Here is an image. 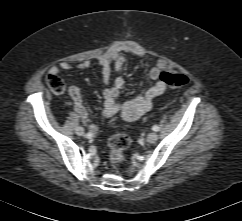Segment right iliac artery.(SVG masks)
<instances>
[{
    "instance_id": "right-iliac-artery-1",
    "label": "right iliac artery",
    "mask_w": 242,
    "mask_h": 221,
    "mask_svg": "<svg viewBox=\"0 0 242 221\" xmlns=\"http://www.w3.org/2000/svg\"><path fill=\"white\" fill-rule=\"evenodd\" d=\"M86 136H87V138H91L92 137V133L89 132V133H87Z\"/></svg>"
}]
</instances>
